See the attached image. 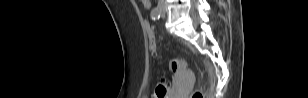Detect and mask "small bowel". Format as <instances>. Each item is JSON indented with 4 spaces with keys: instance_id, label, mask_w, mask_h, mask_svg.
Here are the masks:
<instances>
[{
    "instance_id": "obj_1",
    "label": "small bowel",
    "mask_w": 308,
    "mask_h": 98,
    "mask_svg": "<svg viewBox=\"0 0 308 98\" xmlns=\"http://www.w3.org/2000/svg\"><path fill=\"white\" fill-rule=\"evenodd\" d=\"M142 3H143V6L147 9L151 7V1L149 0H142Z\"/></svg>"
}]
</instances>
